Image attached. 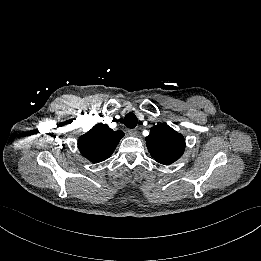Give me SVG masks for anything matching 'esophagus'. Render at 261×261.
<instances>
[{
  "instance_id": "34e87169",
  "label": "esophagus",
  "mask_w": 261,
  "mask_h": 261,
  "mask_svg": "<svg viewBox=\"0 0 261 261\" xmlns=\"http://www.w3.org/2000/svg\"><path fill=\"white\" fill-rule=\"evenodd\" d=\"M127 133H128L130 136H133V137L137 136V134H138V132H137L136 129H128V130H127Z\"/></svg>"
}]
</instances>
